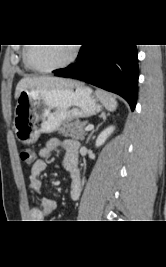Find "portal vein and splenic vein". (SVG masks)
<instances>
[{
  "label": "portal vein and splenic vein",
  "mask_w": 166,
  "mask_h": 267,
  "mask_svg": "<svg viewBox=\"0 0 166 267\" xmlns=\"http://www.w3.org/2000/svg\"><path fill=\"white\" fill-rule=\"evenodd\" d=\"M93 128H94L93 125H88V126H86L85 131H90V130H92Z\"/></svg>",
  "instance_id": "portal-vein-and-splenic-vein-1"
}]
</instances>
